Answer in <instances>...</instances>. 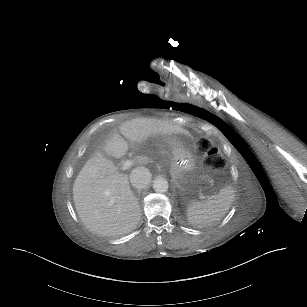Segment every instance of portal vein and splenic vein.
I'll return each instance as SVG.
<instances>
[{"label":"portal vein and splenic vein","instance_id":"1","mask_svg":"<svg viewBox=\"0 0 307 307\" xmlns=\"http://www.w3.org/2000/svg\"><path fill=\"white\" fill-rule=\"evenodd\" d=\"M133 164H134L133 160L129 158V159L126 160V162L124 164L121 165L120 168H121L122 171L125 172V171L128 170V168L132 167ZM197 189L200 192V194H199L201 196L200 198L204 201L206 199V197L204 196V193L201 191V188L199 186L197 187Z\"/></svg>","mask_w":307,"mask_h":307}]
</instances>
